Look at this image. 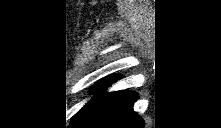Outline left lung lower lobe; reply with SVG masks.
Instances as JSON below:
<instances>
[{
	"label": "left lung lower lobe",
	"instance_id": "1",
	"mask_svg": "<svg viewBox=\"0 0 221 128\" xmlns=\"http://www.w3.org/2000/svg\"><path fill=\"white\" fill-rule=\"evenodd\" d=\"M136 99L131 91L105 94L71 118L69 128H143V119L133 111Z\"/></svg>",
	"mask_w": 221,
	"mask_h": 128
}]
</instances>
